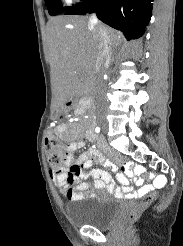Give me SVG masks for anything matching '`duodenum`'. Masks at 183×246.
<instances>
[{"instance_id":"410a0bca","label":"duodenum","mask_w":183,"mask_h":246,"mask_svg":"<svg viewBox=\"0 0 183 246\" xmlns=\"http://www.w3.org/2000/svg\"><path fill=\"white\" fill-rule=\"evenodd\" d=\"M71 108L75 109L73 112L74 116H77L78 113H84L83 104H72ZM88 137L91 138L92 141H95L96 144H99V148H102V151H109V146H106L104 139H101L100 136H97V133H89Z\"/></svg>"}]
</instances>
